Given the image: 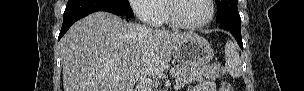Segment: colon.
<instances>
[{
	"label": "colon",
	"instance_id": "obj_1",
	"mask_svg": "<svg viewBox=\"0 0 304 91\" xmlns=\"http://www.w3.org/2000/svg\"><path fill=\"white\" fill-rule=\"evenodd\" d=\"M220 91H233L232 86L226 82V81H221L220 83Z\"/></svg>",
	"mask_w": 304,
	"mask_h": 91
}]
</instances>
